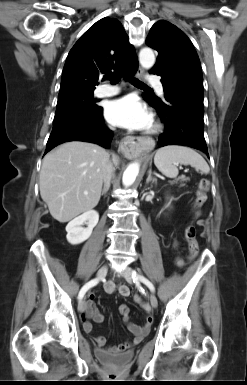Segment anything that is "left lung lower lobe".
<instances>
[{"label":"left lung lower lobe","instance_id":"0a47b994","mask_svg":"<svg viewBox=\"0 0 247 385\" xmlns=\"http://www.w3.org/2000/svg\"><path fill=\"white\" fill-rule=\"evenodd\" d=\"M151 73L161 76L160 72ZM161 82L165 101L159 105L148 102L165 124V132L160 136L158 145H184L200 149L208 155L203 135V102L175 90L164 78Z\"/></svg>","mask_w":247,"mask_h":385}]
</instances>
